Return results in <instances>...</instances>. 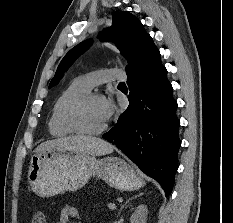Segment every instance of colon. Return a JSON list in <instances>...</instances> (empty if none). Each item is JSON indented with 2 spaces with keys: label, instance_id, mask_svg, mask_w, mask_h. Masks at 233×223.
<instances>
[{
  "label": "colon",
  "instance_id": "colon-1",
  "mask_svg": "<svg viewBox=\"0 0 233 223\" xmlns=\"http://www.w3.org/2000/svg\"><path fill=\"white\" fill-rule=\"evenodd\" d=\"M32 223H45L43 215L35 214L33 216Z\"/></svg>",
  "mask_w": 233,
  "mask_h": 223
}]
</instances>
